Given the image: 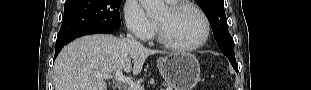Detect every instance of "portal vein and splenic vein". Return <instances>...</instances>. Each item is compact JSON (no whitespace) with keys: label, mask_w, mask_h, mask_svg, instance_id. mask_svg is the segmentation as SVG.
<instances>
[{"label":"portal vein and splenic vein","mask_w":311,"mask_h":90,"mask_svg":"<svg viewBox=\"0 0 311 90\" xmlns=\"http://www.w3.org/2000/svg\"><path fill=\"white\" fill-rule=\"evenodd\" d=\"M101 77H103L104 79H111L114 78L117 81L126 83L130 86L131 90H144V88L142 86H140L139 84H136L133 82V80L127 76H124L121 70L116 71V73L114 75H110V74H101Z\"/></svg>","instance_id":"obj_1"}]
</instances>
